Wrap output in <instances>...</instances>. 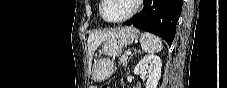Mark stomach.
Returning a JSON list of instances; mask_svg holds the SVG:
<instances>
[{
  "mask_svg": "<svg viewBox=\"0 0 227 88\" xmlns=\"http://www.w3.org/2000/svg\"><path fill=\"white\" fill-rule=\"evenodd\" d=\"M139 36V31L134 27L116 28L111 35L103 41L102 51L107 57H118L124 47L132 44ZM114 65L109 58H101L94 62L92 77L95 81L106 80L113 72Z\"/></svg>",
  "mask_w": 227,
  "mask_h": 88,
  "instance_id": "1",
  "label": "stomach"
}]
</instances>
